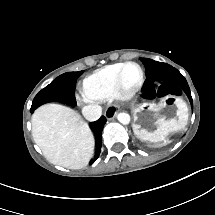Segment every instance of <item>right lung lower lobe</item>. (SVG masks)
Masks as SVG:
<instances>
[{
	"label": "right lung lower lobe",
	"mask_w": 215,
	"mask_h": 215,
	"mask_svg": "<svg viewBox=\"0 0 215 215\" xmlns=\"http://www.w3.org/2000/svg\"><path fill=\"white\" fill-rule=\"evenodd\" d=\"M106 123V118L102 116L99 120L90 123V126L95 133L96 136V151H95V156L92 159V163L99 157L100 155V150H101V143H102V130L104 127V124Z\"/></svg>",
	"instance_id": "obj_1"
}]
</instances>
